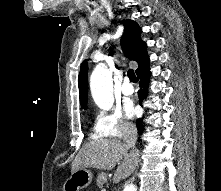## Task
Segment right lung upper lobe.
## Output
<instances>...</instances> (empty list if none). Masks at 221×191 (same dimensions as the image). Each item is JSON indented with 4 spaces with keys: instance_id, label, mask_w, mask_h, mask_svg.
Segmentation results:
<instances>
[{
    "instance_id": "right-lung-upper-lobe-1",
    "label": "right lung upper lobe",
    "mask_w": 221,
    "mask_h": 191,
    "mask_svg": "<svg viewBox=\"0 0 221 191\" xmlns=\"http://www.w3.org/2000/svg\"><path fill=\"white\" fill-rule=\"evenodd\" d=\"M122 24L124 25V33L120 40L122 49L127 58L138 63L137 73L149 64L146 44L141 40V29L134 21L123 20ZM87 74L88 66L84 61L79 73L80 104L84 109L87 108Z\"/></svg>"
}]
</instances>
